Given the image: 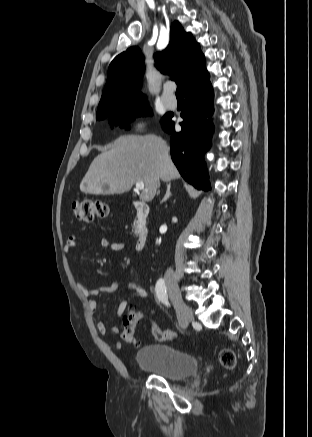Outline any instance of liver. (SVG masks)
I'll return each instance as SVG.
<instances>
[{"instance_id": "1", "label": "liver", "mask_w": 312, "mask_h": 437, "mask_svg": "<svg viewBox=\"0 0 312 437\" xmlns=\"http://www.w3.org/2000/svg\"><path fill=\"white\" fill-rule=\"evenodd\" d=\"M179 177L160 137L152 134L120 136L110 150L92 161L80 190L96 195L124 193L140 181L145 186L140 199L149 202L155 197L160 180L169 182Z\"/></svg>"}]
</instances>
